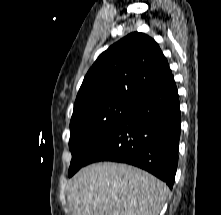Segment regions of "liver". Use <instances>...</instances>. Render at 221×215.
Returning <instances> with one entry per match:
<instances>
[{"label": "liver", "mask_w": 221, "mask_h": 215, "mask_svg": "<svg viewBox=\"0 0 221 215\" xmlns=\"http://www.w3.org/2000/svg\"><path fill=\"white\" fill-rule=\"evenodd\" d=\"M167 185L139 168L111 162L81 169L68 183L72 215H159Z\"/></svg>", "instance_id": "obj_1"}]
</instances>
